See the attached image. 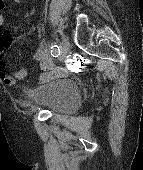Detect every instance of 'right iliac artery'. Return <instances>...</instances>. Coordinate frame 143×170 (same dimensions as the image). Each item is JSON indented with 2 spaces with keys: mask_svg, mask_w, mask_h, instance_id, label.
<instances>
[{
  "mask_svg": "<svg viewBox=\"0 0 143 170\" xmlns=\"http://www.w3.org/2000/svg\"><path fill=\"white\" fill-rule=\"evenodd\" d=\"M50 52H51V55L53 57H58L60 55V47H59V45H56V44L52 45Z\"/></svg>",
  "mask_w": 143,
  "mask_h": 170,
  "instance_id": "82829eb1",
  "label": "right iliac artery"
}]
</instances>
